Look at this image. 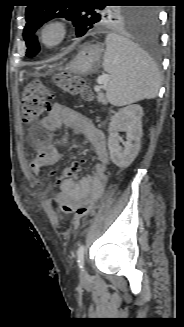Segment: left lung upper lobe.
<instances>
[{
  "mask_svg": "<svg viewBox=\"0 0 184 327\" xmlns=\"http://www.w3.org/2000/svg\"><path fill=\"white\" fill-rule=\"evenodd\" d=\"M48 0H33L27 6L25 12L26 26L23 30V38L26 42V56L33 57L39 50V44L34 33L39 27L56 17L66 18L73 22L78 36L85 35L89 30L102 25L127 24L135 26L139 24L144 15L141 8H118L110 7V3H132L134 0H99L97 4H89L92 1L76 0L74 5L60 6L48 5Z\"/></svg>",
  "mask_w": 184,
  "mask_h": 327,
  "instance_id": "obj_1",
  "label": "left lung upper lobe"
}]
</instances>
